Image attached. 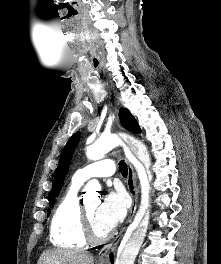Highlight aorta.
Returning <instances> with one entry per match:
<instances>
[{
	"label": "aorta",
	"instance_id": "aorta-1",
	"mask_svg": "<svg viewBox=\"0 0 221 264\" xmlns=\"http://www.w3.org/2000/svg\"><path fill=\"white\" fill-rule=\"evenodd\" d=\"M115 141L113 138H101L87 146L86 156L92 160H99L104 157L106 153L113 149ZM130 150L144 165L147 179L143 184V188L148 196L150 191V182L152 181V174L150 171L151 159L146 146L138 141L132 140L129 143ZM100 188L97 181L92 180L86 185V191L93 192ZM149 224V211H146L144 217L138 222H134L127 230L120 244L115 264H134L135 259L142 246Z\"/></svg>",
	"mask_w": 221,
	"mask_h": 264
}]
</instances>
